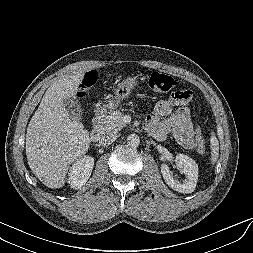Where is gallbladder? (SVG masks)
<instances>
[{"label":"gallbladder","mask_w":253,"mask_h":253,"mask_svg":"<svg viewBox=\"0 0 253 253\" xmlns=\"http://www.w3.org/2000/svg\"><path fill=\"white\" fill-rule=\"evenodd\" d=\"M64 106L71 119L78 121L82 119V108L77 100L68 98L64 101Z\"/></svg>","instance_id":"bac80fb5"}]
</instances>
